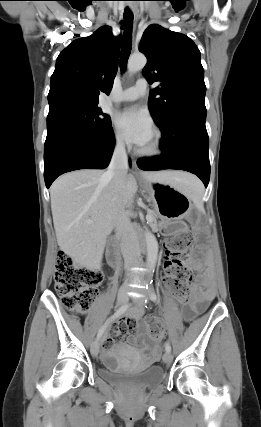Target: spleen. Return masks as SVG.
<instances>
[{"label": "spleen", "mask_w": 261, "mask_h": 427, "mask_svg": "<svg viewBox=\"0 0 261 427\" xmlns=\"http://www.w3.org/2000/svg\"><path fill=\"white\" fill-rule=\"evenodd\" d=\"M186 192L188 196L197 204L202 203V197H203V186L199 180H197L195 177L193 179H190L187 182V189Z\"/></svg>", "instance_id": "1"}]
</instances>
